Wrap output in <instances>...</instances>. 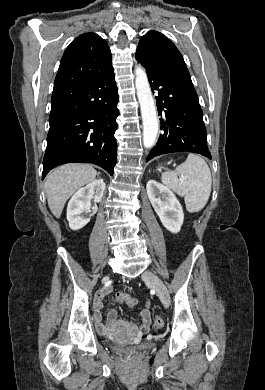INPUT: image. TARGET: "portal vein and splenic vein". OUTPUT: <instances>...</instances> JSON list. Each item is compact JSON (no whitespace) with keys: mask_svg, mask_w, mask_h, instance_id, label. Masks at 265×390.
Instances as JSON below:
<instances>
[{"mask_svg":"<svg viewBox=\"0 0 265 390\" xmlns=\"http://www.w3.org/2000/svg\"><path fill=\"white\" fill-rule=\"evenodd\" d=\"M180 180L184 181V180H185V177H184V176H181Z\"/></svg>","mask_w":265,"mask_h":390,"instance_id":"1","label":"portal vein and splenic vein"}]
</instances>
